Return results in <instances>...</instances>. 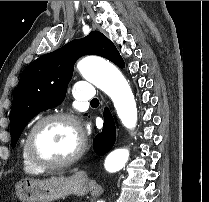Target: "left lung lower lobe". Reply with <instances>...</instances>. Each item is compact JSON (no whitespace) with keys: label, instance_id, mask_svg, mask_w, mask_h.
Wrapping results in <instances>:
<instances>
[{"label":"left lung lower lobe","instance_id":"left-lung-lower-lobe-1","mask_svg":"<svg viewBox=\"0 0 209 202\" xmlns=\"http://www.w3.org/2000/svg\"><path fill=\"white\" fill-rule=\"evenodd\" d=\"M103 115V131L94 138V151L100 156L106 154L113 147L116 140L115 123L108 108L105 109Z\"/></svg>","mask_w":209,"mask_h":202}]
</instances>
